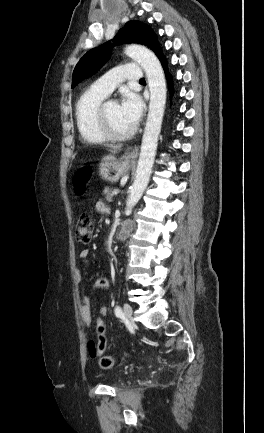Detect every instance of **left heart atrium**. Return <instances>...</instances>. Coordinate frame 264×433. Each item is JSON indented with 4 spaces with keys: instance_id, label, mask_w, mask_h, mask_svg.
Listing matches in <instances>:
<instances>
[{
    "instance_id": "39dd6f15",
    "label": "left heart atrium",
    "mask_w": 264,
    "mask_h": 433,
    "mask_svg": "<svg viewBox=\"0 0 264 433\" xmlns=\"http://www.w3.org/2000/svg\"><path fill=\"white\" fill-rule=\"evenodd\" d=\"M119 106L131 124L136 125L139 122L143 113V102L137 94L125 92Z\"/></svg>"
}]
</instances>
